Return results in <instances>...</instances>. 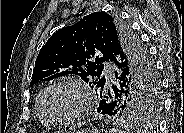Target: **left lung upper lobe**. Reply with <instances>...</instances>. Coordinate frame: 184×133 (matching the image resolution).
I'll list each match as a JSON object with an SVG mask.
<instances>
[{
	"instance_id": "1",
	"label": "left lung upper lobe",
	"mask_w": 184,
	"mask_h": 133,
	"mask_svg": "<svg viewBox=\"0 0 184 133\" xmlns=\"http://www.w3.org/2000/svg\"><path fill=\"white\" fill-rule=\"evenodd\" d=\"M109 61L124 71L127 81L117 99L116 117L133 123L155 119L161 94L154 62L117 15L94 12L56 31L38 54L30 85L75 74L98 93L105 89L101 74Z\"/></svg>"
}]
</instances>
